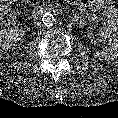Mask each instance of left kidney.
I'll return each instance as SVG.
<instances>
[{
	"label": "left kidney",
	"instance_id": "obj_1",
	"mask_svg": "<svg viewBox=\"0 0 118 118\" xmlns=\"http://www.w3.org/2000/svg\"><path fill=\"white\" fill-rule=\"evenodd\" d=\"M99 35L107 42L108 47L104 51H95L94 57L99 60L110 61L118 56V39L106 30H100Z\"/></svg>",
	"mask_w": 118,
	"mask_h": 118
}]
</instances>
